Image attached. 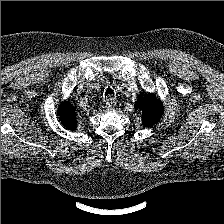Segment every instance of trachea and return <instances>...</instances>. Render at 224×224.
<instances>
[{"label":"trachea","instance_id":"obj_1","mask_svg":"<svg viewBox=\"0 0 224 224\" xmlns=\"http://www.w3.org/2000/svg\"><path fill=\"white\" fill-rule=\"evenodd\" d=\"M113 95H114V92L111 88L106 90L105 97H109V96L113 97Z\"/></svg>","mask_w":224,"mask_h":224}]
</instances>
